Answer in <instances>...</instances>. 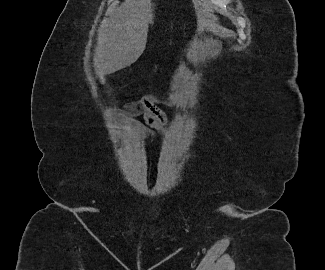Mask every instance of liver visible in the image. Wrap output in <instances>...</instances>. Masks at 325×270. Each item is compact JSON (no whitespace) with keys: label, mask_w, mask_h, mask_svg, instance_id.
Here are the masks:
<instances>
[{"label":"liver","mask_w":325,"mask_h":270,"mask_svg":"<svg viewBox=\"0 0 325 270\" xmlns=\"http://www.w3.org/2000/svg\"><path fill=\"white\" fill-rule=\"evenodd\" d=\"M151 0H125L111 9L98 31L95 61L102 75L134 63L143 53L149 24L153 23Z\"/></svg>","instance_id":"6515ba94"}]
</instances>
